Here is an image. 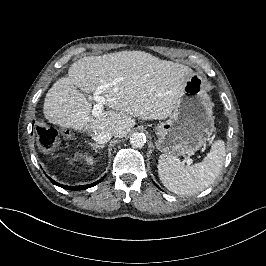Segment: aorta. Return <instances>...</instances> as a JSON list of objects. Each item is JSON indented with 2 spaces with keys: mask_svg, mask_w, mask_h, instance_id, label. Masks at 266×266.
Wrapping results in <instances>:
<instances>
[{
  "mask_svg": "<svg viewBox=\"0 0 266 266\" xmlns=\"http://www.w3.org/2000/svg\"><path fill=\"white\" fill-rule=\"evenodd\" d=\"M146 143V136L144 133H133L130 136V144L134 148H142Z\"/></svg>",
  "mask_w": 266,
  "mask_h": 266,
  "instance_id": "obj_1",
  "label": "aorta"
}]
</instances>
